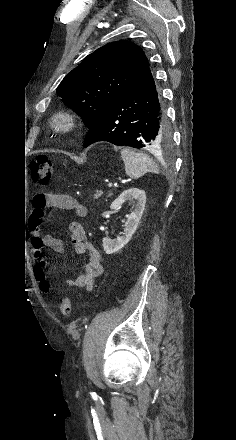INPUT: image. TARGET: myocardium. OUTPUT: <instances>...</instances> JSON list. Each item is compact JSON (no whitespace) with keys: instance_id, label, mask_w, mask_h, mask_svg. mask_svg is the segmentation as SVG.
<instances>
[{"instance_id":"f54148a6","label":"myocardium","mask_w":236,"mask_h":440,"mask_svg":"<svg viewBox=\"0 0 236 440\" xmlns=\"http://www.w3.org/2000/svg\"><path fill=\"white\" fill-rule=\"evenodd\" d=\"M50 125L56 134L66 135L77 129L78 121L71 111L61 110L52 115Z\"/></svg>"}]
</instances>
